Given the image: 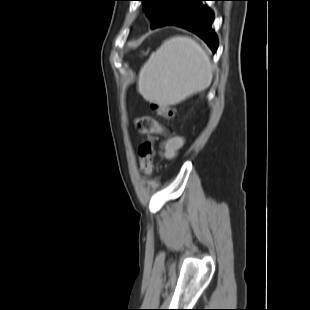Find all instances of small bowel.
<instances>
[{
  "label": "small bowel",
  "instance_id": "obj_1",
  "mask_svg": "<svg viewBox=\"0 0 310 310\" xmlns=\"http://www.w3.org/2000/svg\"><path fill=\"white\" fill-rule=\"evenodd\" d=\"M137 128L142 133H156L164 134L163 126L150 116H144L136 121ZM184 138L181 136H174L165 140L162 144V155L166 158H173L178 150L183 146Z\"/></svg>",
  "mask_w": 310,
  "mask_h": 310
}]
</instances>
